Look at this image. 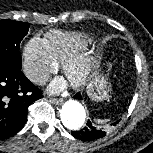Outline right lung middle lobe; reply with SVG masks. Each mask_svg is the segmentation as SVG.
<instances>
[{"label":"right lung middle lobe","instance_id":"right-lung-middle-lobe-1","mask_svg":"<svg viewBox=\"0 0 153 153\" xmlns=\"http://www.w3.org/2000/svg\"><path fill=\"white\" fill-rule=\"evenodd\" d=\"M29 26L26 22L0 20V62L22 67L20 42Z\"/></svg>","mask_w":153,"mask_h":153}]
</instances>
